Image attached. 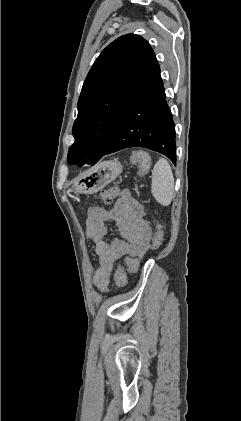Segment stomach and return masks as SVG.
Listing matches in <instances>:
<instances>
[{
	"label": "stomach",
	"instance_id": "stomach-1",
	"mask_svg": "<svg viewBox=\"0 0 241 421\" xmlns=\"http://www.w3.org/2000/svg\"><path fill=\"white\" fill-rule=\"evenodd\" d=\"M122 172L118 161H104L74 181L72 189L76 194H92L112 182Z\"/></svg>",
	"mask_w": 241,
	"mask_h": 421
}]
</instances>
